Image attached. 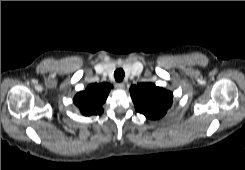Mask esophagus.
<instances>
[{"mask_svg":"<svg viewBox=\"0 0 245 170\" xmlns=\"http://www.w3.org/2000/svg\"><path fill=\"white\" fill-rule=\"evenodd\" d=\"M116 86L118 89H121V90L125 89V83H123V82L117 83Z\"/></svg>","mask_w":245,"mask_h":170,"instance_id":"1","label":"esophagus"}]
</instances>
